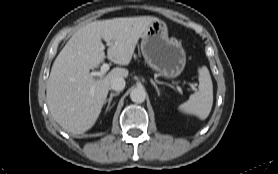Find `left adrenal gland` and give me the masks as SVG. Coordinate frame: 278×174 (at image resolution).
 Wrapping results in <instances>:
<instances>
[{"label": "left adrenal gland", "instance_id": "a2214340", "mask_svg": "<svg viewBox=\"0 0 278 174\" xmlns=\"http://www.w3.org/2000/svg\"><path fill=\"white\" fill-rule=\"evenodd\" d=\"M151 83L155 87L158 96H160V90H159L158 86L156 85V83L152 79H151Z\"/></svg>", "mask_w": 278, "mask_h": 174}]
</instances>
